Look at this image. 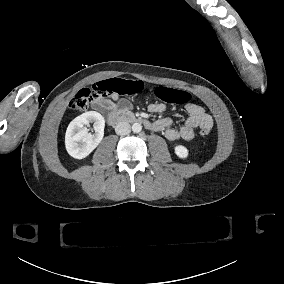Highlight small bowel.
<instances>
[{"label": "small bowel", "instance_id": "c3829d8e", "mask_svg": "<svg viewBox=\"0 0 284 284\" xmlns=\"http://www.w3.org/2000/svg\"><path fill=\"white\" fill-rule=\"evenodd\" d=\"M102 108L107 110L123 109L130 110L132 108L131 102L125 98H119L118 95H112L102 105ZM166 106L163 103H152L149 105L148 110L151 113L164 112ZM187 117L183 125L179 128L172 127L174 119L172 117H165L153 122H148V129L163 132L168 140H191L195 136L197 128L213 127V118L208 114L205 109L195 103H188L185 106Z\"/></svg>", "mask_w": 284, "mask_h": 284}]
</instances>
